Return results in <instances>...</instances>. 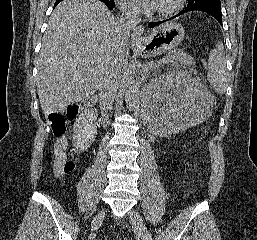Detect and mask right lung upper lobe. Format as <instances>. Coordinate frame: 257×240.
<instances>
[{"label": "right lung upper lobe", "mask_w": 257, "mask_h": 240, "mask_svg": "<svg viewBox=\"0 0 257 240\" xmlns=\"http://www.w3.org/2000/svg\"><path fill=\"white\" fill-rule=\"evenodd\" d=\"M62 0H56V3L55 4H58V3H60Z\"/></svg>", "instance_id": "cb5924a9"}]
</instances>
